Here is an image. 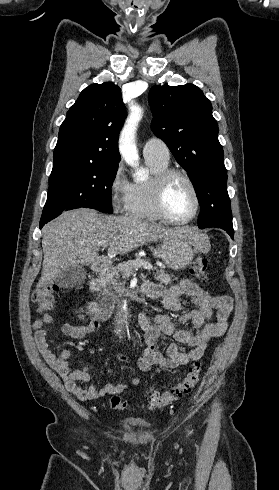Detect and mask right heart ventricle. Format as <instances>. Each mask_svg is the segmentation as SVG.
I'll return each mask as SVG.
<instances>
[{"label": "right heart ventricle", "instance_id": "obj_1", "mask_svg": "<svg viewBox=\"0 0 279 490\" xmlns=\"http://www.w3.org/2000/svg\"><path fill=\"white\" fill-rule=\"evenodd\" d=\"M146 162L152 175L147 181L134 184L132 201L127 215L138 220L159 221L162 218L158 215L154 204L156 179L159 173L168 168L169 160L146 158Z\"/></svg>", "mask_w": 279, "mask_h": 490}]
</instances>
